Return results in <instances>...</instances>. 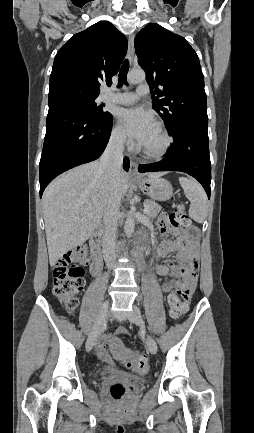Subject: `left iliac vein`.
Listing matches in <instances>:
<instances>
[{
    "label": "left iliac vein",
    "instance_id": "left-iliac-vein-1",
    "mask_svg": "<svg viewBox=\"0 0 254 433\" xmlns=\"http://www.w3.org/2000/svg\"><path fill=\"white\" fill-rule=\"evenodd\" d=\"M130 320L133 324H135L137 326L143 327V325H144V322H143V319L141 316V312L136 305H133V310L130 314ZM146 346H147L148 350L150 351V353H152V354L157 353V344L151 335H147V337H146Z\"/></svg>",
    "mask_w": 254,
    "mask_h": 433
}]
</instances>
